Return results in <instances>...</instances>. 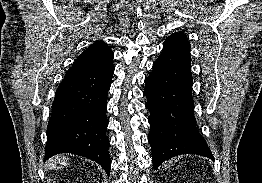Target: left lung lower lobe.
<instances>
[{"mask_svg":"<svg viewBox=\"0 0 262 183\" xmlns=\"http://www.w3.org/2000/svg\"><path fill=\"white\" fill-rule=\"evenodd\" d=\"M191 56L163 49L145 79L144 96L150 111L149 142L153 167L182 154L214 160L206 141L196 128L192 97Z\"/></svg>","mask_w":262,"mask_h":183,"instance_id":"0a47b994","label":"left lung lower lobe"}]
</instances>
